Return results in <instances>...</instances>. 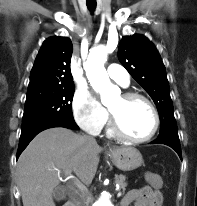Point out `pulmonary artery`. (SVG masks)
I'll return each instance as SVG.
<instances>
[{"label":"pulmonary artery","instance_id":"pulmonary-artery-1","mask_svg":"<svg viewBox=\"0 0 197 206\" xmlns=\"http://www.w3.org/2000/svg\"><path fill=\"white\" fill-rule=\"evenodd\" d=\"M108 76L122 86L129 84V75L125 68L120 64H111L107 68Z\"/></svg>","mask_w":197,"mask_h":206}]
</instances>
